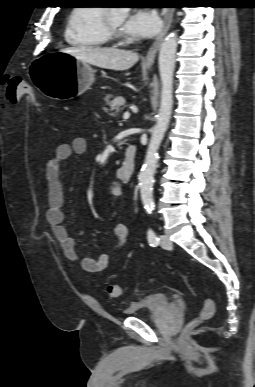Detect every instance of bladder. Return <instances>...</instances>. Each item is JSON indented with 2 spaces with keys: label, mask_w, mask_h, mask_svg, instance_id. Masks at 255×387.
Listing matches in <instances>:
<instances>
[{
  "label": "bladder",
  "mask_w": 255,
  "mask_h": 387,
  "mask_svg": "<svg viewBox=\"0 0 255 387\" xmlns=\"http://www.w3.org/2000/svg\"><path fill=\"white\" fill-rule=\"evenodd\" d=\"M172 306L170 297L164 293H150L143 298L132 302L123 310V314L139 317L142 314H157Z\"/></svg>",
  "instance_id": "1"
}]
</instances>
